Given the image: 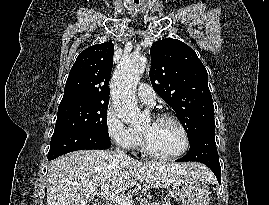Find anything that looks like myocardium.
<instances>
[{
	"label": "myocardium",
	"instance_id": "1",
	"mask_svg": "<svg viewBox=\"0 0 269 205\" xmlns=\"http://www.w3.org/2000/svg\"><path fill=\"white\" fill-rule=\"evenodd\" d=\"M162 120H168L171 121L172 123H174L180 130V132L182 133L183 136V140H184V145L182 147V149L174 154H169V155H165V154H160L155 152L154 150H152L149 145L147 144L145 138L142 136L141 137V147H142V151L148 155L151 158L154 159H158V160H174L177 159L181 156H183L189 149L190 147V137H189V133L185 127V125L173 114L170 113H160L158 115H156V117L154 118V121H162Z\"/></svg>",
	"mask_w": 269,
	"mask_h": 205
}]
</instances>
